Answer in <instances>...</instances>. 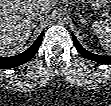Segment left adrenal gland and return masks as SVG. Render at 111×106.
Returning <instances> with one entry per match:
<instances>
[{"mask_svg":"<svg viewBox=\"0 0 111 106\" xmlns=\"http://www.w3.org/2000/svg\"><path fill=\"white\" fill-rule=\"evenodd\" d=\"M78 16L80 18V22H82V23H86L87 22V20L82 17L81 13H78Z\"/></svg>","mask_w":111,"mask_h":106,"instance_id":"left-adrenal-gland-1","label":"left adrenal gland"}]
</instances>
